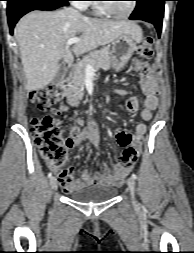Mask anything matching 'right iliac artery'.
Masks as SVG:
<instances>
[{
	"instance_id": "obj_1",
	"label": "right iliac artery",
	"mask_w": 194,
	"mask_h": 253,
	"mask_svg": "<svg viewBox=\"0 0 194 253\" xmlns=\"http://www.w3.org/2000/svg\"><path fill=\"white\" fill-rule=\"evenodd\" d=\"M48 178H52V173L51 172L48 174Z\"/></svg>"
}]
</instances>
